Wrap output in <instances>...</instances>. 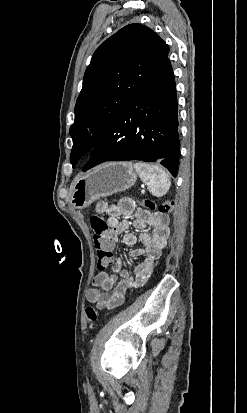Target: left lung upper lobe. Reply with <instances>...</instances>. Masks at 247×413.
I'll return each instance as SVG.
<instances>
[{
  "label": "left lung upper lobe",
  "instance_id": "left-lung-upper-lobe-1",
  "mask_svg": "<svg viewBox=\"0 0 247 413\" xmlns=\"http://www.w3.org/2000/svg\"><path fill=\"white\" fill-rule=\"evenodd\" d=\"M168 52L169 46L153 30L137 23L123 27L97 48L84 74L70 129L73 167L94 149Z\"/></svg>",
  "mask_w": 247,
  "mask_h": 413
}]
</instances>
